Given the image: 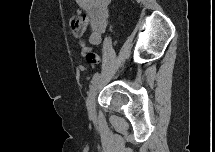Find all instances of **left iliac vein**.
Returning a JSON list of instances; mask_svg holds the SVG:
<instances>
[{
  "label": "left iliac vein",
  "mask_w": 215,
  "mask_h": 152,
  "mask_svg": "<svg viewBox=\"0 0 215 152\" xmlns=\"http://www.w3.org/2000/svg\"><path fill=\"white\" fill-rule=\"evenodd\" d=\"M102 81V78H98L92 85L89 91L88 99H87V109L90 117H95V98L98 87Z\"/></svg>",
  "instance_id": "1"
}]
</instances>
